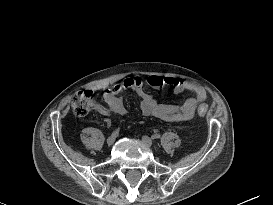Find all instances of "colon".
Returning <instances> with one entry per match:
<instances>
[{
    "instance_id": "colon-1",
    "label": "colon",
    "mask_w": 273,
    "mask_h": 205,
    "mask_svg": "<svg viewBox=\"0 0 273 205\" xmlns=\"http://www.w3.org/2000/svg\"><path fill=\"white\" fill-rule=\"evenodd\" d=\"M98 94L93 90H81L71 97V106L78 116H85L97 106ZM208 113L205 105L198 107V114L204 116Z\"/></svg>"
}]
</instances>
